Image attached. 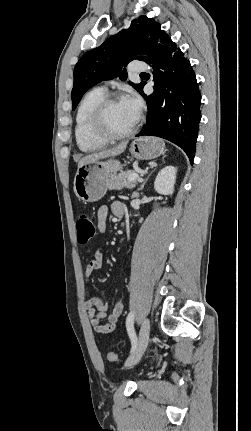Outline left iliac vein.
I'll use <instances>...</instances> for the list:
<instances>
[{
  "label": "left iliac vein",
  "instance_id": "1",
  "mask_svg": "<svg viewBox=\"0 0 251 431\" xmlns=\"http://www.w3.org/2000/svg\"><path fill=\"white\" fill-rule=\"evenodd\" d=\"M149 334H150V321L148 318L144 319L140 332H139V341L136 349L131 354V356L126 360L125 366H133L135 365L143 356L148 342H149Z\"/></svg>",
  "mask_w": 251,
  "mask_h": 431
}]
</instances>
